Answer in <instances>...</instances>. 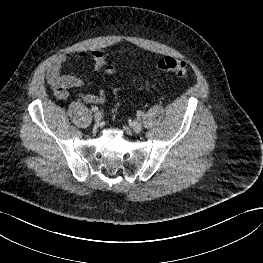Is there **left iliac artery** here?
<instances>
[{
    "label": "left iliac artery",
    "instance_id": "obj_1",
    "mask_svg": "<svg viewBox=\"0 0 263 263\" xmlns=\"http://www.w3.org/2000/svg\"><path fill=\"white\" fill-rule=\"evenodd\" d=\"M143 115V112L142 111H137V116L140 117Z\"/></svg>",
    "mask_w": 263,
    "mask_h": 263
}]
</instances>
